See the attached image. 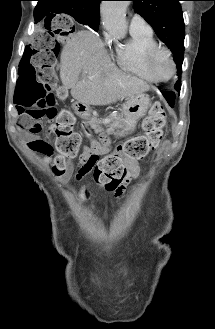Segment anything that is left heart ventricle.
Returning a JSON list of instances; mask_svg holds the SVG:
<instances>
[{"instance_id":"1","label":"left heart ventricle","mask_w":215,"mask_h":329,"mask_svg":"<svg viewBox=\"0 0 215 329\" xmlns=\"http://www.w3.org/2000/svg\"><path fill=\"white\" fill-rule=\"evenodd\" d=\"M155 66L160 77L166 78L171 74L172 67L166 54H160L158 56Z\"/></svg>"}]
</instances>
